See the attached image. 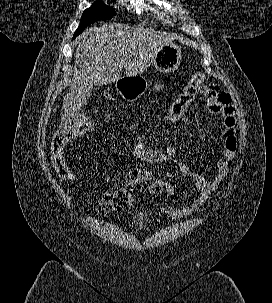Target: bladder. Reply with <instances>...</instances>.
<instances>
[{
  "label": "bladder",
  "instance_id": "obj_1",
  "mask_svg": "<svg viewBox=\"0 0 272 303\" xmlns=\"http://www.w3.org/2000/svg\"><path fill=\"white\" fill-rule=\"evenodd\" d=\"M148 223V216L144 213L136 214L134 217V225L139 226H145Z\"/></svg>",
  "mask_w": 272,
  "mask_h": 303
}]
</instances>
